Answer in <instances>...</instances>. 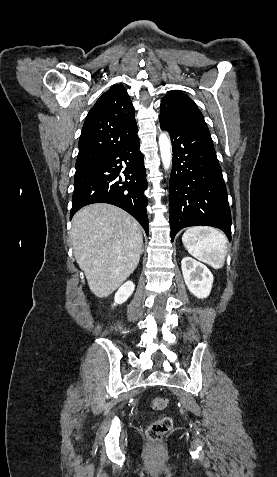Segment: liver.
Wrapping results in <instances>:
<instances>
[{
  "label": "liver",
  "mask_w": 277,
  "mask_h": 477,
  "mask_svg": "<svg viewBox=\"0 0 277 477\" xmlns=\"http://www.w3.org/2000/svg\"><path fill=\"white\" fill-rule=\"evenodd\" d=\"M72 247L92 293L112 294L136 269L142 249L140 224L106 203L80 209L72 219Z\"/></svg>",
  "instance_id": "liver-1"
}]
</instances>
